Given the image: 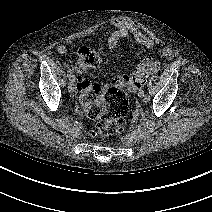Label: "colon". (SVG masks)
<instances>
[{
  "instance_id": "obj_1",
  "label": "colon",
  "mask_w": 212,
  "mask_h": 212,
  "mask_svg": "<svg viewBox=\"0 0 212 212\" xmlns=\"http://www.w3.org/2000/svg\"><path fill=\"white\" fill-rule=\"evenodd\" d=\"M102 59L100 52L84 47L78 51L75 66L80 76L77 87L83 111L88 118L98 121L96 128L91 131L95 136H109L121 131L130 111L129 98L123 88L139 89L146 81L142 75H123L102 87L82 77L96 69Z\"/></svg>"
}]
</instances>
